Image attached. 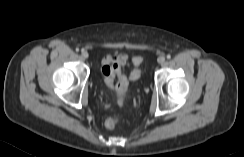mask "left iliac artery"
I'll list each match as a JSON object with an SVG mask.
<instances>
[{"instance_id":"1","label":"left iliac artery","mask_w":244,"mask_h":157,"mask_svg":"<svg viewBox=\"0 0 244 157\" xmlns=\"http://www.w3.org/2000/svg\"><path fill=\"white\" fill-rule=\"evenodd\" d=\"M170 58H171V55H170V54H168V55H167V59H170Z\"/></svg>"}]
</instances>
